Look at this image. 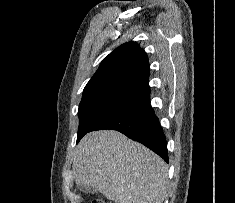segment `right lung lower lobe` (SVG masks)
Here are the masks:
<instances>
[{"mask_svg": "<svg viewBox=\"0 0 235 203\" xmlns=\"http://www.w3.org/2000/svg\"><path fill=\"white\" fill-rule=\"evenodd\" d=\"M101 129L117 130L168 162L165 135L150 104V89L142 98L104 118L90 131Z\"/></svg>", "mask_w": 235, "mask_h": 203, "instance_id": "98d812e1", "label": "right lung lower lobe"}]
</instances>
